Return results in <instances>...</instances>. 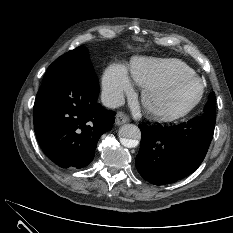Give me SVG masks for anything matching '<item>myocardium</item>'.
Returning <instances> with one entry per match:
<instances>
[{
    "instance_id": "f54148a6",
    "label": "myocardium",
    "mask_w": 233,
    "mask_h": 233,
    "mask_svg": "<svg viewBox=\"0 0 233 233\" xmlns=\"http://www.w3.org/2000/svg\"><path fill=\"white\" fill-rule=\"evenodd\" d=\"M186 80L196 81L200 85V92L197 98L186 108L180 111L173 112V111H168L161 107H158L152 102V95L155 92L169 88L177 83H180ZM204 95H205V85L200 77H198L195 74L180 75V76L171 78L163 82L145 86L141 92V105H142L144 112L151 119L159 121V122L171 123V122L182 120L185 117H187L189 114H191L202 102Z\"/></svg>"
}]
</instances>
